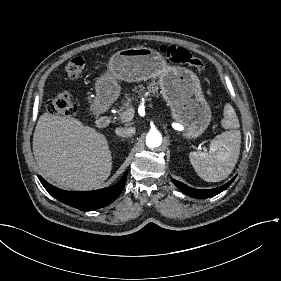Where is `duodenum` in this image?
Masks as SVG:
<instances>
[{
  "label": "duodenum",
  "instance_id": "1",
  "mask_svg": "<svg viewBox=\"0 0 281 281\" xmlns=\"http://www.w3.org/2000/svg\"><path fill=\"white\" fill-rule=\"evenodd\" d=\"M96 123L99 126H108L111 123V116L108 113H101L96 118Z\"/></svg>",
  "mask_w": 281,
  "mask_h": 281
}]
</instances>
